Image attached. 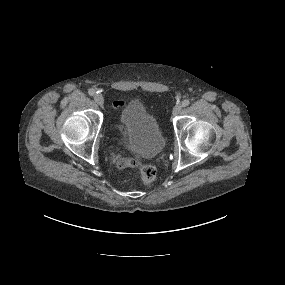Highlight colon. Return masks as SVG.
Returning <instances> with one entry per match:
<instances>
[{"instance_id": "obj_1", "label": "colon", "mask_w": 285, "mask_h": 285, "mask_svg": "<svg viewBox=\"0 0 285 285\" xmlns=\"http://www.w3.org/2000/svg\"><path fill=\"white\" fill-rule=\"evenodd\" d=\"M129 166H136V160H128ZM141 179L144 183H151L156 178V169L152 165H143L140 170Z\"/></svg>"}]
</instances>
